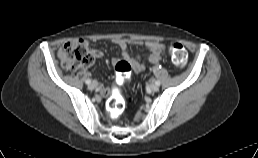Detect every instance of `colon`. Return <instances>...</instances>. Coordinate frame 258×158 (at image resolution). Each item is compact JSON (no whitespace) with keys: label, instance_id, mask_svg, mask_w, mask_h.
Wrapping results in <instances>:
<instances>
[{"label":"colon","instance_id":"obj_1","mask_svg":"<svg viewBox=\"0 0 258 158\" xmlns=\"http://www.w3.org/2000/svg\"><path fill=\"white\" fill-rule=\"evenodd\" d=\"M168 51L172 63L182 68L187 62V50L185 46L179 42H171L168 44ZM62 66L66 70H76L80 67L91 66L95 62L96 56L88 49V45L84 40L75 39L64 43L58 52ZM131 65L126 60H119L115 63V84L116 89L113 90L107 108L112 117L119 116L124 110L125 102L118 89L130 77Z\"/></svg>","mask_w":258,"mask_h":158}]
</instances>
